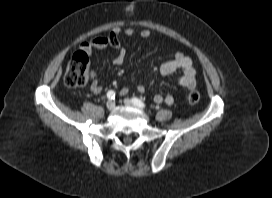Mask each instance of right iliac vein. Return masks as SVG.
<instances>
[{
    "label": "right iliac vein",
    "instance_id": "obj_1",
    "mask_svg": "<svg viewBox=\"0 0 272 198\" xmlns=\"http://www.w3.org/2000/svg\"><path fill=\"white\" fill-rule=\"evenodd\" d=\"M106 107L108 110H113L115 108V102L114 101H108L106 104Z\"/></svg>",
    "mask_w": 272,
    "mask_h": 198
}]
</instances>
